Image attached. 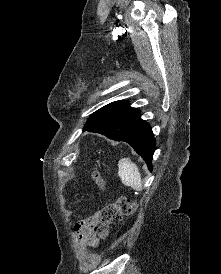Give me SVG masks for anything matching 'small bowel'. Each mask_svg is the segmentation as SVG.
Returning a JSON list of instances; mask_svg holds the SVG:
<instances>
[{"instance_id":"small-bowel-1","label":"small bowel","mask_w":221,"mask_h":274,"mask_svg":"<svg viewBox=\"0 0 221 274\" xmlns=\"http://www.w3.org/2000/svg\"><path fill=\"white\" fill-rule=\"evenodd\" d=\"M100 222V214L97 213L89 218L78 222L75 227V235L80 245H88L95 247L99 242L98 224Z\"/></svg>"}]
</instances>
